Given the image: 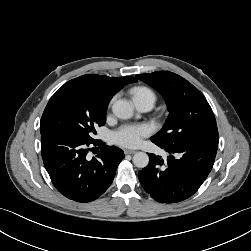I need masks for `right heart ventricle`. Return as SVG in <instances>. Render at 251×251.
<instances>
[{
	"label": "right heart ventricle",
	"mask_w": 251,
	"mask_h": 251,
	"mask_svg": "<svg viewBox=\"0 0 251 251\" xmlns=\"http://www.w3.org/2000/svg\"><path fill=\"white\" fill-rule=\"evenodd\" d=\"M132 95H133V100L138 98H149L154 102L156 98L154 92L146 86L135 87L132 90Z\"/></svg>",
	"instance_id": "1"
}]
</instances>
